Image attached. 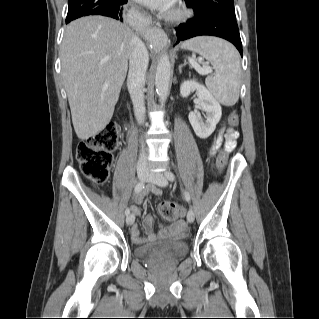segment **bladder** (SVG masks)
Masks as SVG:
<instances>
[{
  "label": "bladder",
  "mask_w": 319,
  "mask_h": 319,
  "mask_svg": "<svg viewBox=\"0 0 319 319\" xmlns=\"http://www.w3.org/2000/svg\"><path fill=\"white\" fill-rule=\"evenodd\" d=\"M188 252V242L177 239H169L155 243H145L136 249V255L140 258H146L157 253H164L172 257H181L188 254Z\"/></svg>",
  "instance_id": "31cf9c89"
}]
</instances>
